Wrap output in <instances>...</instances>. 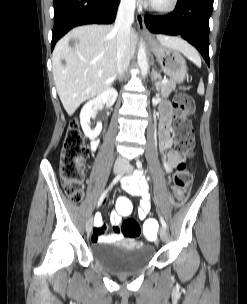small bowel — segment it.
Returning <instances> with one entry per match:
<instances>
[{"mask_svg": "<svg viewBox=\"0 0 247 304\" xmlns=\"http://www.w3.org/2000/svg\"><path fill=\"white\" fill-rule=\"evenodd\" d=\"M171 120H172V106L169 102H164L160 108V121L158 127L159 135V150L163 152V166L167 173L172 172L179 162V155L173 149V139L171 135ZM99 141L93 140L91 142V149L95 151L98 148ZM122 188L128 194L138 196L141 198L140 207L138 209V217L141 220L146 219L151 209V197L149 194V185L147 179L142 176L140 171L125 180L122 183ZM121 221V216L114 212L111 214V222L114 225V232L107 233V225L102 221L100 215L97 216L94 227L93 241L105 242L116 241L123 237L118 224Z\"/></svg>", "mask_w": 247, "mask_h": 304, "instance_id": "c3829d8e", "label": "small bowel"}]
</instances>
